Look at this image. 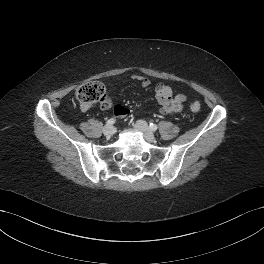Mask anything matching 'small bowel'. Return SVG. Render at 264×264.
<instances>
[{
    "instance_id": "small-bowel-1",
    "label": "small bowel",
    "mask_w": 264,
    "mask_h": 264,
    "mask_svg": "<svg viewBox=\"0 0 264 264\" xmlns=\"http://www.w3.org/2000/svg\"><path fill=\"white\" fill-rule=\"evenodd\" d=\"M130 79L139 82L143 88H147L150 85V81L143 76L134 75L131 76ZM155 96L158 103L160 104L159 111L163 115H174L180 112L186 101V97L184 95H174L172 89L163 83H159L156 85ZM100 106L104 110L111 108L112 102L108 94L101 101ZM89 108L90 106H81V109L84 111L88 110ZM113 113L117 116H125L129 113V111L120 105H116L113 108Z\"/></svg>"
}]
</instances>
